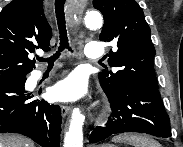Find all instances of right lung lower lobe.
I'll use <instances>...</instances> for the list:
<instances>
[{"instance_id": "right-lung-lower-lobe-1", "label": "right lung lower lobe", "mask_w": 183, "mask_h": 147, "mask_svg": "<svg viewBox=\"0 0 183 147\" xmlns=\"http://www.w3.org/2000/svg\"><path fill=\"white\" fill-rule=\"evenodd\" d=\"M26 79L25 76L0 83V133H19L42 147H59L60 107L32 100L24 88Z\"/></svg>"}]
</instances>
